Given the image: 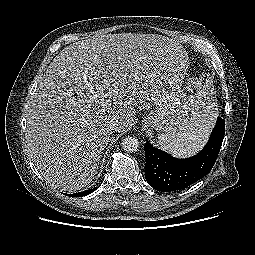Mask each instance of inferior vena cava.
<instances>
[{
  "instance_id": "obj_1",
  "label": "inferior vena cava",
  "mask_w": 255,
  "mask_h": 255,
  "mask_svg": "<svg viewBox=\"0 0 255 255\" xmlns=\"http://www.w3.org/2000/svg\"><path fill=\"white\" fill-rule=\"evenodd\" d=\"M108 126L111 130H116L117 127L119 126V121L117 119H113L109 121Z\"/></svg>"
}]
</instances>
